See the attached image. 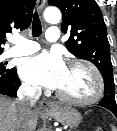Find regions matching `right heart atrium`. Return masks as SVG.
Wrapping results in <instances>:
<instances>
[{"label": "right heart atrium", "mask_w": 117, "mask_h": 131, "mask_svg": "<svg viewBox=\"0 0 117 131\" xmlns=\"http://www.w3.org/2000/svg\"><path fill=\"white\" fill-rule=\"evenodd\" d=\"M23 88H24L25 91L30 92V93L37 92V87L30 85V84H24Z\"/></svg>", "instance_id": "1"}]
</instances>
